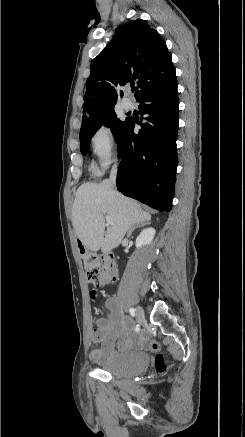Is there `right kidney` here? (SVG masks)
Returning a JSON list of instances; mask_svg holds the SVG:
<instances>
[{
    "instance_id": "obj_1",
    "label": "right kidney",
    "mask_w": 245,
    "mask_h": 437,
    "mask_svg": "<svg viewBox=\"0 0 245 437\" xmlns=\"http://www.w3.org/2000/svg\"><path fill=\"white\" fill-rule=\"evenodd\" d=\"M155 233L156 232L154 228H147L142 230V232L136 239V247L139 249L143 246L149 245L152 242Z\"/></svg>"
}]
</instances>
